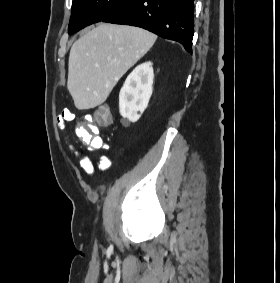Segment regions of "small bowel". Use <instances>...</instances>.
<instances>
[{"label": "small bowel", "instance_id": "small-bowel-1", "mask_svg": "<svg viewBox=\"0 0 280 283\" xmlns=\"http://www.w3.org/2000/svg\"><path fill=\"white\" fill-rule=\"evenodd\" d=\"M74 118V115L71 111H63L61 115L57 118V125L61 129H65L67 126V123ZM66 143L68 145V148L70 152L79 158V166L81 170L88 176L93 175L95 171V165L93 160L83 155L79 150L75 148V146L70 142L68 136H66ZM100 148H95L90 145H87V151L89 153L95 154L98 152ZM111 165V157L108 154H101L99 156V162H98V170L99 171H105L107 170Z\"/></svg>", "mask_w": 280, "mask_h": 283}]
</instances>
